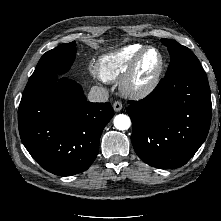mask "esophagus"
<instances>
[{
	"mask_svg": "<svg viewBox=\"0 0 221 221\" xmlns=\"http://www.w3.org/2000/svg\"><path fill=\"white\" fill-rule=\"evenodd\" d=\"M122 108H123V105L120 101L114 102V104H113L114 111L119 112L120 110H122Z\"/></svg>",
	"mask_w": 221,
	"mask_h": 221,
	"instance_id": "1",
	"label": "esophagus"
}]
</instances>
